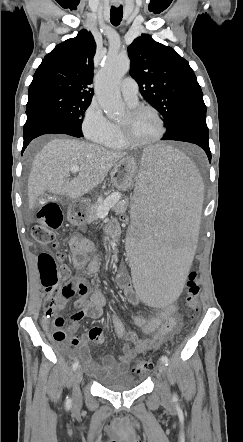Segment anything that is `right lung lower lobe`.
Segmentation results:
<instances>
[{"instance_id": "right-lung-lower-lobe-1", "label": "right lung lower lobe", "mask_w": 243, "mask_h": 442, "mask_svg": "<svg viewBox=\"0 0 243 442\" xmlns=\"http://www.w3.org/2000/svg\"><path fill=\"white\" fill-rule=\"evenodd\" d=\"M27 114L24 125L23 149L36 137L44 134H67L74 137H83V134L75 129L61 116L45 109H32Z\"/></svg>"}]
</instances>
